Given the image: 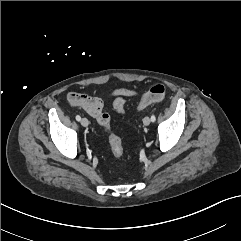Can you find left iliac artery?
<instances>
[{
  "instance_id": "obj_1",
  "label": "left iliac artery",
  "mask_w": 241,
  "mask_h": 241,
  "mask_svg": "<svg viewBox=\"0 0 241 241\" xmlns=\"http://www.w3.org/2000/svg\"><path fill=\"white\" fill-rule=\"evenodd\" d=\"M155 120H156L155 115H152V116H151V121L154 122Z\"/></svg>"
}]
</instances>
